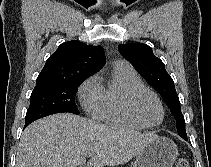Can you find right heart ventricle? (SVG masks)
<instances>
[{
  "instance_id": "obj_1",
  "label": "right heart ventricle",
  "mask_w": 211,
  "mask_h": 167,
  "mask_svg": "<svg viewBox=\"0 0 211 167\" xmlns=\"http://www.w3.org/2000/svg\"><path fill=\"white\" fill-rule=\"evenodd\" d=\"M113 79L115 86H102L101 100L98 109L93 113L94 118L115 127L141 129L142 127L126 114L123 107L125 93L134 87L143 86L141 78L132 68L114 67Z\"/></svg>"
}]
</instances>
